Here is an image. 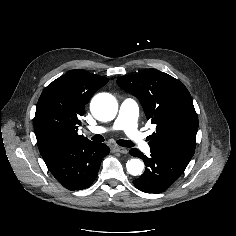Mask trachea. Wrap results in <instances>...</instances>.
Instances as JSON below:
<instances>
[{
    "instance_id": "1",
    "label": "trachea",
    "mask_w": 236,
    "mask_h": 236,
    "mask_svg": "<svg viewBox=\"0 0 236 236\" xmlns=\"http://www.w3.org/2000/svg\"><path fill=\"white\" fill-rule=\"evenodd\" d=\"M91 139L96 142H103L104 141V137L102 135H94ZM116 142L118 145H120L122 147H133L134 146V144L128 140L119 139Z\"/></svg>"
}]
</instances>
